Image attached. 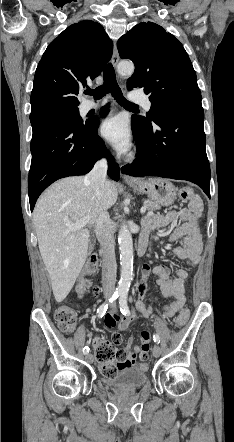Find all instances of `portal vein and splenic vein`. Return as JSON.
<instances>
[{
    "mask_svg": "<svg viewBox=\"0 0 234 442\" xmlns=\"http://www.w3.org/2000/svg\"><path fill=\"white\" fill-rule=\"evenodd\" d=\"M141 214H144L146 212V207L143 206L140 210ZM90 218L89 217H84L81 220L75 222V223H67V226L69 227V229L74 230V229H80L83 228L84 226H86L89 222Z\"/></svg>",
    "mask_w": 234,
    "mask_h": 442,
    "instance_id": "1",
    "label": "portal vein and splenic vein"
}]
</instances>
